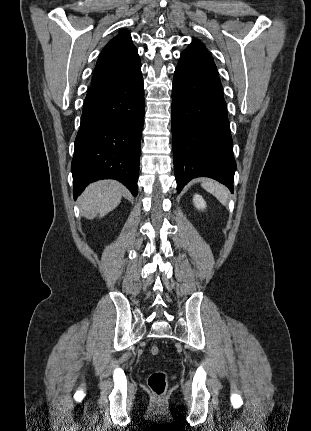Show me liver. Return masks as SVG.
<instances>
[{
	"label": "liver",
	"mask_w": 311,
	"mask_h": 431,
	"mask_svg": "<svg viewBox=\"0 0 311 431\" xmlns=\"http://www.w3.org/2000/svg\"><path fill=\"white\" fill-rule=\"evenodd\" d=\"M123 192L125 188L119 182L102 180V182L90 184L79 202L89 219L96 216L103 217L119 206Z\"/></svg>",
	"instance_id": "obj_1"
}]
</instances>
